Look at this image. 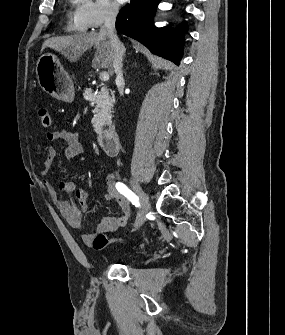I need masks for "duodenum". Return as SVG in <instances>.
Returning a JSON list of instances; mask_svg holds the SVG:
<instances>
[{"label":"duodenum","instance_id":"obj_1","mask_svg":"<svg viewBox=\"0 0 285 335\" xmlns=\"http://www.w3.org/2000/svg\"><path fill=\"white\" fill-rule=\"evenodd\" d=\"M98 143L105 154L114 156L119 150V136L114 125H109L98 133Z\"/></svg>","mask_w":285,"mask_h":335}]
</instances>
